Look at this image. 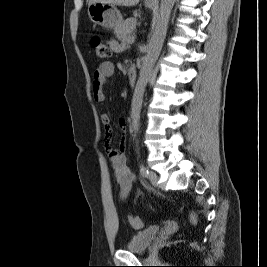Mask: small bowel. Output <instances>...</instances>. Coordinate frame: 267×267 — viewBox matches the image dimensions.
<instances>
[{
    "instance_id": "obj_1",
    "label": "small bowel",
    "mask_w": 267,
    "mask_h": 267,
    "mask_svg": "<svg viewBox=\"0 0 267 267\" xmlns=\"http://www.w3.org/2000/svg\"><path fill=\"white\" fill-rule=\"evenodd\" d=\"M110 45L115 51H119L122 49V46L115 40H111ZM113 73H114V65L111 62L101 63L99 67L94 71L92 95L96 101L98 102L104 101L105 99L104 86L107 82V79L111 77ZM100 119L101 123L105 128L106 149L109 153L111 163L115 171L116 181L120 187V194H119L120 199L125 200L128 197L133 187V184L136 181V175L128 167L127 156L124 152V142L126 138L127 122L125 118L118 119V126L121 130V145L119 148H112L110 146L111 136H112L110 116L106 113H103Z\"/></svg>"
}]
</instances>
